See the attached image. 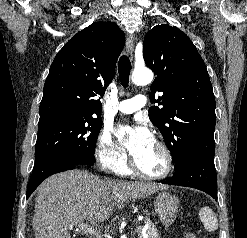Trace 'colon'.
I'll return each instance as SVG.
<instances>
[{
    "mask_svg": "<svg viewBox=\"0 0 247 238\" xmlns=\"http://www.w3.org/2000/svg\"><path fill=\"white\" fill-rule=\"evenodd\" d=\"M183 238H198V237L193 233H186Z\"/></svg>",
    "mask_w": 247,
    "mask_h": 238,
    "instance_id": "5ec220e1",
    "label": "colon"
}]
</instances>
